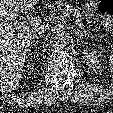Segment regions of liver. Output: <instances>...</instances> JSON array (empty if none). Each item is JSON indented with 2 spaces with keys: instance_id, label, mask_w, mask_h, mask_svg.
<instances>
[{
  "instance_id": "obj_1",
  "label": "liver",
  "mask_w": 113,
  "mask_h": 113,
  "mask_svg": "<svg viewBox=\"0 0 113 113\" xmlns=\"http://www.w3.org/2000/svg\"><path fill=\"white\" fill-rule=\"evenodd\" d=\"M38 0H0V91L16 89L27 59L32 39L31 31L41 24L34 17L28 29L17 32L12 21L19 16V9L32 11Z\"/></svg>"
}]
</instances>
